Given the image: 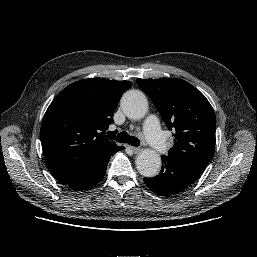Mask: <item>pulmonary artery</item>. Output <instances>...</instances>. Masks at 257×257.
Returning <instances> with one entry per match:
<instances>
[{
	"instance_id": "pulmonary-artery-1",
	"label": "pulmonary artery",
	"mask_w": 257,
	"mask_h": 257,
	"mask_svg": "<svg viewBox=\"0 0 257 257\" xmlns=\"http://www.w3.org/2000/svg\"><path fill=\"white\" fill-rule=\"evenodd\" d=\"M144 135L148 143L159 154H165L168 151L166 135L160 128L156 116H149L144 122Z\"/></svg>"
}]
</instances>
